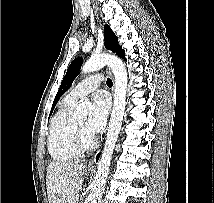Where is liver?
<instances>
[{
	"label": "liver",
	"instance_id": "liver-1",
	"mask_svg": "<svg viewBox=\"0 0 214 203\" xmlns=\"http://www.w3.org/2000/svg\"><path fill=\"white\" fill-rule=\"evenodd\" d=\"M85 164L80 161L51 162L46 187L49 203H67L82 188Z\"/></svg>",
	"mask_w": 214,
	"mask_h": 203
}]
</instances>
